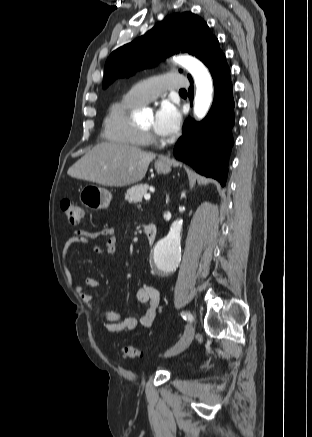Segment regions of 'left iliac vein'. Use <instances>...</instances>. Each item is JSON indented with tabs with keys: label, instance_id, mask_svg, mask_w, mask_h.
Wrapping results in <instances>:
<instances>
[{
	"label": "left iliac vein",
	"instance_id": "left-iliac-vein-1",
	"mask_svg": "<svg viewBox=\"0 0 312 437\" xmlns=\"http://www.w3.org/2000/svg\"><path fill=\"white\" fill-rule=\"evenodd\" d=\"M194 335H195V327L191 323L188 325L181 340L172 349H170L165 355L166 356H174V355H177V354L183 352L192 342Z\"/></svg>",
	"mask_w": 312,
	"mask_h": 437
}]
</instances>
